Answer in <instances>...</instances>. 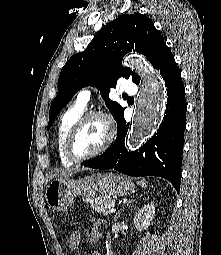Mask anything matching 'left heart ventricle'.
<instances>
[{"mask_svg": "<svg viewBox=\"0 0 221 255\" xmlns=\"http://www.w3.org/2000/svg\"><path fill=\"white\" fill-rule=\"evenodd\" d=\"M106 138L104 123L97 118L89 120L79 131L74 141V152L85 156L96 151Z\"/></svg>", "mask_w": 221, "mask_h": 255, "instance_id": "left-heart-ventricle-1", "label": "left heart ventricle"}]
</instances>
